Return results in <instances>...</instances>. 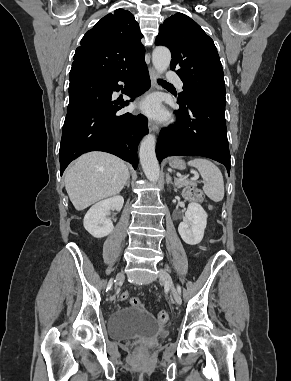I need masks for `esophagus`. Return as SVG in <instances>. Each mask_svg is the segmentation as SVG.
Segmentation results:
<instances>
[{
	"instance_id": "obj_1",
	"label": "esophagus",
	"mask_w": 291,
	"mask_h": 381,
	"mask_svg": "<svg viewBox=\"0 0 291 381\" xmlns=\"http://www.w3.org/2000/svg\"><path fill=\"white\" fill-rule=\"evenodd\" d=\"M149 75H150V80H151V85H152V88L155 89L157 88V78H158V73L156 72V70L153 68V67H149ZM148 129L150 132H158L159 130V125L150 120L148 122Z\"/></svg>"
}]
</instances>
